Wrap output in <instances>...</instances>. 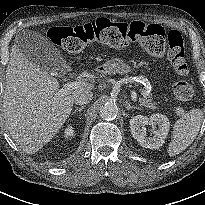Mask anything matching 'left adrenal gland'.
<instances>
[{
    "instance_id": "left-adrenal-gland-1",
    "label": "left adrenal gland",
    "mask_w": 205,
    "mask_h": 205,
    "mask_svg": "<svg viewBox=\"0 0 205 205\" xmlns=\"http://www.w3.org/2000/svg\"><path fill=\"white\" fill-rule=\"evenodd\" d=\"M125 107H126L127 110H132V109L141 110V108H139V107L131 106L128 101L125 102Z\"/></svg>"
}]
</instances>
